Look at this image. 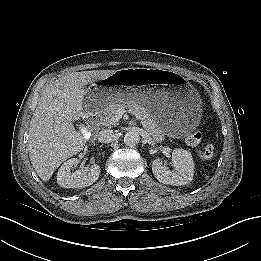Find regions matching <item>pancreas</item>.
Masks as SVG:
<instances>
[{
	"mask_svg": "<svg viewBox=\"0 0 261 261\" xmlns=\"http://www.w3.org/2000/svg\"><path fill=\"white\" fill-rule=\"evenodd\" d=\"M119 108H129L135 113L141 115L143 118V127L152 135L153 139L160 142L164 139V134L162 130L157 126V124L146 115L145 110L142 106L138 105L134 101L127 102H111L103 111V117L101 119V124L106 127L115 126L118 121L115 120L116 110Z\"/></svg>",
	"mask_w": 261,
	"mask_h": 261,
	"instance_id": "obj_1",
	"label": "pancreas"
}]
</instances>
